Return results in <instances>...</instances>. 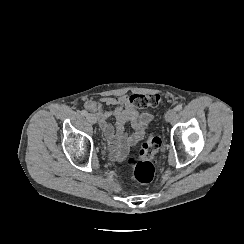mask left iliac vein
Listing matches in <instances>:
<instances>
[{
    "instance_id": "4c4485c4",
    "label": "left iliac vein",
    "mask_w": 244,
    "mask_h": 244,
    "mask_svg": "<svg viewBox=\"0 0 244 244\" xmlns=\"http://www.w3.org/2000/svg\"><path fill=\"white\" fill-rule=\"evenodd\" d=\"M177 113L174 109H170L166 115H165V119L167 122H171L175 117H176Z\"/></svg>"
}]
</instances>
